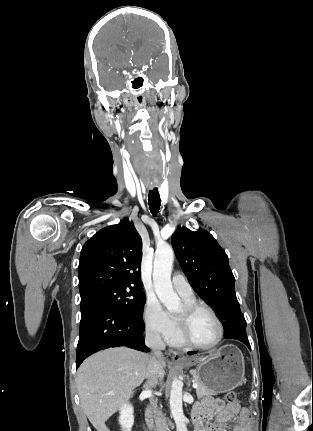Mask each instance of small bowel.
Instances as JSON below:
<instances>
[{
    "label": "small bowel",
    "instance_id": "obj_1",
    "mask_svg": "<svg viewBox=\"0 0 313 431\" xmlns=\"http://www.w3.org/2000/svg\"><path fill=\"white\" fill-rule=\"evenodd\" d=\"M195 431H252L249 412L238 403L225 404L221 399L205 398L193 409Z\"/></svg>",
    "mask_w": 313,
    "mask_h": 431
}]
</instances>
